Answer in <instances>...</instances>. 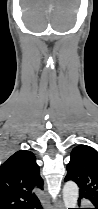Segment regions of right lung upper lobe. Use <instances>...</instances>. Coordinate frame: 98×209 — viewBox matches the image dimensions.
I'll list each match as a JSON object with an SVG mask.
<instances>
[{"instance_id": "obj_1", "label": "right lung upper lobe", "mask_w": 98, "mask_h": 209, "mask_svg": "<svg viewBox=\"0 0 98 209\" xmlns=\"http://www.w3.org/2000/svg\"><path fill=\"white\" fill-rule=\"evenodd\" d=\"M43 190L36 157L20 150L0 166V209H27L38 201L34 189Z\"/></svg>"}]
</instances>
